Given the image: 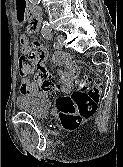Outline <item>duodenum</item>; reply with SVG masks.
Listing matches in <instances>:
<instances>
[{"instance_id":"obj_1","label":"duodenum","mask_w":123,"mask_h":167,"mask_svg":"<svg viewBox=\"0 0 123 167\" xmlns=\"http://www.w3.org/2000/svg\"><path fill=\"white\" fill-rule=\"evenodd\" d=\"M31 13H32V17L36 20V27H37V29H39V28H40L41 16H40V14L37 12L36 9H33Z\"/></svg>"}]
</instances>
